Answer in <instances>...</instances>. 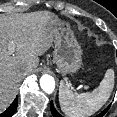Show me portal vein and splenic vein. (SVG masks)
<instances>
[{
    "instance_id": "18ae733b",
    "label": "portal vein and splenic vein",
    "mask_w": 117,
    "mask_h": 117,
    "mask_svg": "<svg viewBox=\"0 0 117 117\" xmlns=\"http://www.w3.org/2000/svg\"><path fill=\"white\" fill-rule=\"evenodd\" d=\"M9 50H10L11 53H13V51H14V46H13V45H10V46H9Z\"/></svg>"
}]
</instances>
